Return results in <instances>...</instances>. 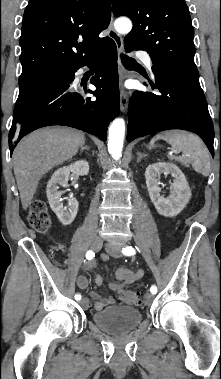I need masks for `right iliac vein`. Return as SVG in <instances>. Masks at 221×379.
I'll return each mask as SVG.
<instances>
[{"label":"right iliac vein","instance_id":"obj_1","mask_svg":"<svg viewBox=\"0 0 221 379\" xmlns=\"http://www.w3.org/2000/svg\"><path fill=\"white\" fill-rule=\"evenodd\" d=\"M102 245H103L102 239L99 237H96L92 242V249L97 252L101 249ZM80 304L82 307L86 308V307H88L89 302L86 298H83L80 301Z\"/></svg>","mask_w":221,"mask_h":379}]
</instances>
